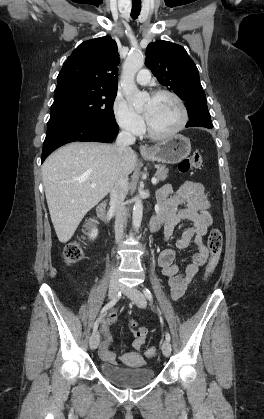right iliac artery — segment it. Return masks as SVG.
<instances>
[{
    "mask_svg": "<svg viewBox=\"0 0 264 419\" xmlns=\"http://www.w3.org/2000/svg\"><path fill=\"white\" fill-rule=\"evenodd\" d=\"M120 297H121V292H119V293L116 295V297H115L112 301H110L108 304H106V305L102 308L101 313H100V315H99L98 319H97V320L95 321V323H94V326H93V332H95V331L97 330V328H98V326H99V321H100V319H101L102 315H103L104 313H106V312H107V310H108L109 308H111L112 306H114V305L116 304V302L120 299Z\"/></svg>",
    "mask_w": 264,
    "mask_h": 419,
    "instance_id": "obj_1",
    "label": "right iliac artery"
}]
</instances>
